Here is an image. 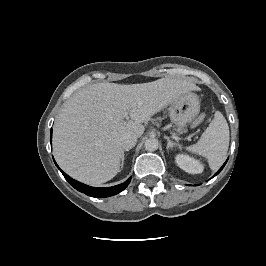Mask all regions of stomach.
<instances>
[{"label": "stomach", "mask_w": 266, "mask_h": 266, "mask_svg": "<svg viewBox=\"0 0 266 266\" xmlns=\"http://www.w3.org/2000/svg\"><path fill=\"white\" fill-rule=\"evenodd\" d=\"M168 110L171 122L182 131L199 114L200 101L196 94L187 92L173 101Z\"/></svg>", "instance_id": "0dacf381"}]
</instances>
